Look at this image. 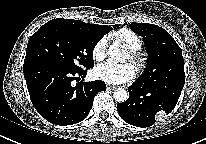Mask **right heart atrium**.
<instances>
[{
    "instance_id": "1",
    "label": "right heart atrium",
    "mask_w": 206,
    "mask_h": 144,
    "mask_svg": "<svg viewBox=\"0 0 206 144\" xmlns=\"http://www.w3.org/2000/svg\"><path fill=\"white\" fill-rule=\"evenodd\" d=\"M106 47H107V38L102 37L100 40L96 42V44L92 49L93 58L97 61L103 60L106 55Z\"/></svg>"
}]
</instances>
